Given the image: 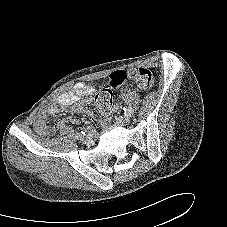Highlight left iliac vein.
Masks as SVG:
<instances>
[{"label": "left iliac vein", "mask_w": 227, "mask_h": 227, "mask_svg": "<svg viewBox=\"0 0 227 227\" xmlns=\"http://www.w3.org/2000/svg\"><path fill=\"white\" fill-rule=\"evenodd\" d=\"M131 121V116L126 115V116H119L116 118V122L120 125H127Z\"/></svg>", "instance_id": "4c4485c4"}]
</instances>
